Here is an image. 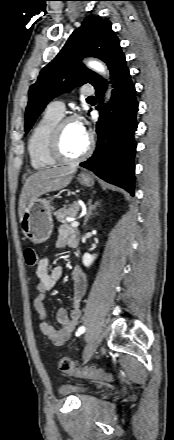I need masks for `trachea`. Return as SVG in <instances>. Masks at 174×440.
<instances>
[{
	"label": "trachea",
	"mask_w": 174,
	"mask_h": 440,
	"mask_svg": "<svg viewBox=\"0 0 174 440\" xmlns=\"http://www.w3.org/2000/svg\"><path fill=\"white\" fill-rule=\"evenodd\" d=\"M93 99H94L93 96H89V97L87 98V100H93Z\"/></svg>",
	"instance_id": "1"
}]
</instances>
